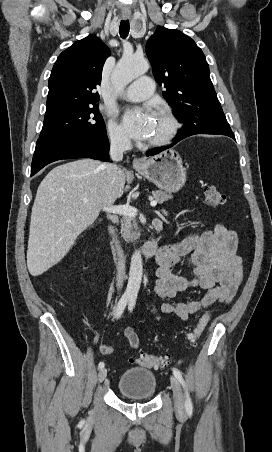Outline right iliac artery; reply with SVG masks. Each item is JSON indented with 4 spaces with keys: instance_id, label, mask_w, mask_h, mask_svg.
I'll return each mask as SVG.
<instances>
[{
    "instance_id": "obj_1",
    "label": "right iliac artery",
    "mask_w": 272,
    "mask_h": 452,
    "mask_svg": "<svg viewBox=\"0 0 272 452\" xmlns=\"http://www.w3.org/2000/svg\"><path fill=\"white\" fill-rule=\"evenodd\" d=\"M129 299H130L129 296H125L124 295V296L121 297V299L118 302V305H117V308H116V312H115V317L116 318H119L122 315V313H123L128 301H129ZM103 367H104V362H100L98 364V368L102 369Z\"/></svg>"
}]
</instances>
